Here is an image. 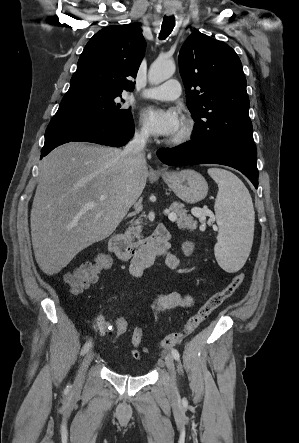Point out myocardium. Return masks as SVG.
<instances>
[{"label":"myocardium","instance_id":"1","mask_svg":"<svg viewBox=\"0 0 299 443\" xmlns=\"http://www.w3.org/2000/svg\"><path fill=\"white\" fill-rule=\"evenodd\" d=\"M197 127L193 119L186 118L183 120L179 131L169 140V144L173 146H181L191 142L196 135Z\"/></svg>","mask_w":299,"mask_h":443}]
</instances>
